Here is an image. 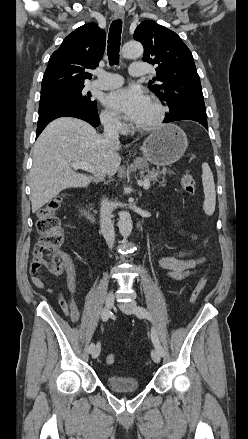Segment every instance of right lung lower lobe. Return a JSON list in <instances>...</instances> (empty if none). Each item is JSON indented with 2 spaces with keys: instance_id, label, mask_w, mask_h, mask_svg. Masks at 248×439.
Masks as SVG:
<instances>
[{
  "instance_id": "98d812e1",
  "label": "right lung lower lobe",
  "mask_w": 248,
  "mask_h": 439,
  "mask_svg": "<svg viewBox=\"0 0 248 439\" xmlns=\"http://www.w3.org/2000/svg\"><path fill=\"white\" fill-rule=\"evenodd\" d=\"M60 117H75L82 119L89 124H91L93 127H97L100 124V120L98 117L97 109H87L83 107H65V108H59L52 110L50 112H47L45 114L39 115L38 122H37V131H36V137L40 135V133L43 131V129L54 119L60 118Z\"/></svg>"
}]
</instances>
